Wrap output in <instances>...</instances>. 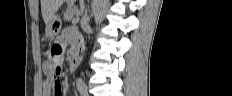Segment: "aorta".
<instances>
[{
	"label": "aorta",
	"mask_w": 232,
	"mask_h": 96,
	"mask_svg": "<svg viewBox=\"0 0 232 96\" xmlns=\"http://www.w3.org/2000/svg\"><path fill=\"white\" fill-rule=\"evenodd\" d=\"M96 7H97V5L95 4V5L93 6V9L95 10V9H96Z\"/></svg>",
	"instance_id": "1"
}]
</instances>
